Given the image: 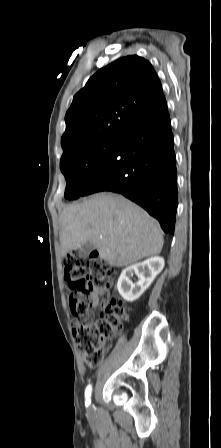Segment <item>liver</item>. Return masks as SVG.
I'll use <instances>...</instances> for the list:
<instances>
[{
  "label": "liver",
  "instance_id": "1",
  "mask_svg": "<svg viewBox=\"0 0 221 448\" xmlns=\"http://www.w3.org/2000/svg\"><path fill=\"white\" fill-rule=\"evenodd\" d=\"M60 226L63 256L91 242L99 256L114 267L158 255L164 243L155 219L123 196L110 193L66 207Z\"/></svg>",
  "mask_w": 221,
  "mask_h": 448
}]
</instances>
